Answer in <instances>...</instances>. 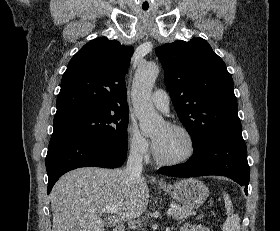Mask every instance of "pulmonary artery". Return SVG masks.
<instances>
[{"mask_svg": "<svg viewBox=\"0 0 280 231\" xmlns=\"http://www.w3.org/2000/svg\"><path fill=\"white\" fill-rule=\"evenodd\" d=\"M152 104L163 112L169 111V96L167 92L163 89H157L153 92L151 96Z\"/></svg>", "mask_w": 280, "mask_h": 231, "instance_id": "e3ab8cb5", "label": "pulmonary artery"}]
</instances>
